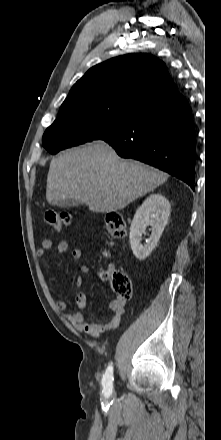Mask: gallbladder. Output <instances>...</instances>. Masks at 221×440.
I'll return each mask as SVG.
<instances>
[{
    "label": "gallbladder",
    "instance_id": "1",
    "mask_svg": "<svg viewBox=\"0 0 221 440\" xmlns=\"http://www.w3.org/2000/svg\"><path fill=\"white\" fill-rule=\"evenodd\" d=\"M81 204H83V203L79 202V201L71 200V199H66V200L59 201L56 205L59 207H70V206H78Z\"/></svg>",
    "mask_w": 221,
    "mask_h": 440
}]
</instances>
